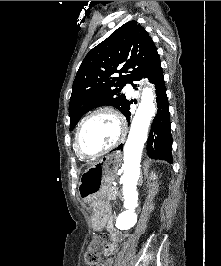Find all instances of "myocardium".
<instances>
[{"mask_svg":"<svg viewBox=\"0 0 221 266\" xmlns=\"http://www.w3.org/2000/svg\"><path fill=\"white\" fill-rule=\"evenodd\" d=\"M99 114H109L111 116H113L119 126V133L117 138L115 139V141L113 143H111L109 146L94 152V153H89L87 152L81 144V137H82V133L83 130L86 126V124L96 115ZM127 133V125L126 122L124 120V118L114 109L111 108H99L96 109L94 111H92L88 116L85 117V119L82 121V123L80 124L77 133H76V137H75V147L76 150L78 152V154L84 158H95V157H99L103 154H105L106 152L110 151L111 149L115 148L117 145H119L125 138Z\"/></svg>","mask_w":221,"mask_h":266,"instance_id":"obj_1","label":"myocardium"}]
</instances>
